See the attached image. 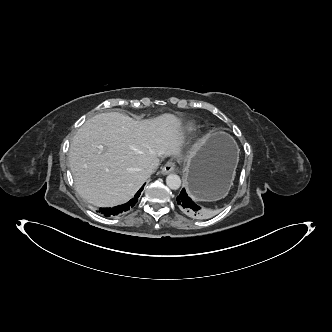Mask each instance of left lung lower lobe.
<instances>
[{"label":"left lung lower lobe","mask_w":332,"mask_h":332,"mask_svg":"<svg viewBox=\"0 0 332 332\" xmlns=\"http://www.w3.org/2000/svg\"><path fill=\"white\" fill-rule=\"evenodd\" d=\"M177 203L183 212L195 219H205L208 217V213L205 210L196 205L187 195L185 189H182L177 197Z\"/></svg>","instance_id":"0a47b994"}]
</instances>
